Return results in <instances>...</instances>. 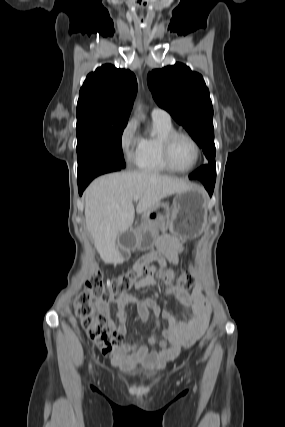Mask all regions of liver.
Here are the masks:
<instances>
[{"instance_id":"obj_1","label":"liver","mask_w":285,"mask_h":427,"mask_svg":"<svg viewBox=\"0 0 285 427\" xmlns=\"http://www.w3.org/2000/svg\"><path fill=\"white\" fill-rule=\"evenodd\" d=\"M189 182L151 172H121L95 179L85 192V219L95 248L106 263L118 261L115 241L134 222L137 213L152 209L172 194L190 189Z\"/></svg>"}]
</instances>
